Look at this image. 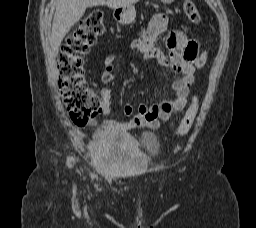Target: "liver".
I'll list each match as a JSON object with an SVG mask.
<instances>
[{
  "label": "liver",
  "mask_w": 256,
  "mask_h": 228,
  "mask_svg": "<svg viewBox=\"0 0 256 228\" xmlns=\"http://www.w3.org/2000/svg\"><path fill=\"white\" fill-rule=\"evenodd\" d=\"M139 0H56V9L53 18L50 45L54 56L58 55L63 38L70 29L83 17L85 10L90 6L121 8Z\"/></svg>",
  "instance_id": "1"
}]
</instances>
